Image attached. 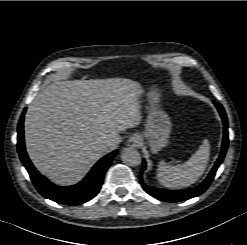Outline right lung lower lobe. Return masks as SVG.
<instances>
[{"mask_svg": "<svg viewBox=\"0 0 247 245\" xmlns=\"http://www.w3.org/2000/svg\"><path fill=\"white\" fill-rule=\"evenodd\" d=\"M25 110L23 111L18 124L17 147L20 159L27 169L30 178L38 192L45 198L66 205L82 204L95 197L102 186L104 174L111 165L112 160L117 153V150L109 153L101 160H99L93 166L88 175L78 184L67 187L54 185L35 169L25 151L23 135V121Z\"/></svg>", "mask_w": 247, "mask_h": 245, "instance_id": "1", "label": "right lung lower lobe"}]
</instances>
